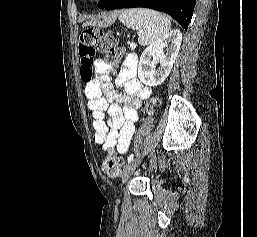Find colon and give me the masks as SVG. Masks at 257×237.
Listing matches in <instances>:
<instances>
[{"label":"colon","instance_id":"5ec220e1","mask_svg":"<svg viewBox=\"0 0 257 237\" xmlns=\"http://www.w3.org/2000/svg\"><path fill=\"white\" fill-rule=\"evenodd\" d=\"M79 56L81 63V77L86 80L92 76L93 63L97 54H103L106 60L116 65L122 54L123 48L118 45V37L115 33L104 32L98 28L85 29L79 39ZM152 104H158V99L154 98ZM150 106L147 107L150 110ZM122 157L117 153L108 154L103 162L102 168L110 178L118 177L122 168Z\"/></svg>","mask_w":257,"mask_h":237}]
</instances>
